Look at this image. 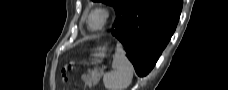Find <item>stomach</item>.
I'll use <instances>...</instances> for the list:
<instances>
[{
    "mask_svg": "<svg viewBox=\"0 0 228 90\" xmlns=\"http://www.w3.org/2000/svg\"><path fill=\"white\" fill-rule=\"evenodd\" d=\"M95 56V60H94V64H98L100 62H102V59L105 56V50L104 49H98L97 52L94 54Z\"/></svg>",
    "mask_w": 228,
    "mask_h": 90,
    "instance_id": "obj_1",
    "label": "stomach"
}]
</instances>
